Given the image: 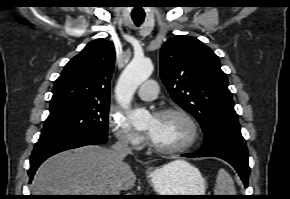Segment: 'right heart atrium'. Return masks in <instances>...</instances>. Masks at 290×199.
Listing matches in <instances>:
<instances>
[{
	"label": "right heart atrium",
	"instance_id": "d8ad5b80",
	"mask_svg": "<svg viewBox=\"0 0 290 199\" xmlns=\"http://www.w3.org/2000/svg\"><path fill=\"white\" fill-rule=\"evenodd\" d=\"M108 123L115 138L121 144L137 149L144 143L143 136L130 125L122 114L111 111L108 116Z\"/></svg>",
	"mask_w": 290,
	"mask_h": 199
}]
</instances>
